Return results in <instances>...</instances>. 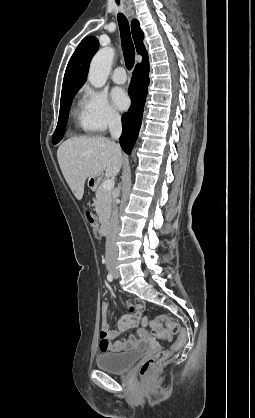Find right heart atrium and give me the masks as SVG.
Masks as SVG:
<instances>
[{"mask_svg":"<svg viewBox=\"0 0 255 418\" xmlns=\"http://www.w3.org/2000/svg\"><path fill=\"white\" fill-rule=\"evenodd\" d=\"M119 120L120 115L105 92L89 86L83 88L80 123L85 130L101 132Z\"/></svg>","mask_w":255,"mask_h":418,"instance_id":"1","label":"right heart atrium"}]
</instances>
